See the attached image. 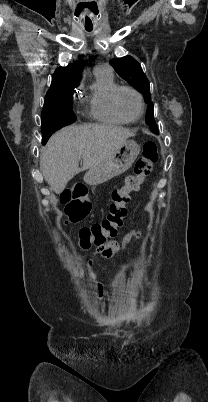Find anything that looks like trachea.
<instances>
[{
    "instance_id": "obj_1",
    "label": "trachea",
    "mask_w": 208,
    "mask_h": 402,
    "mask_svg": "<svg viewBox=\"0 0 208 402\" xmlns=\"http://www.w3.org/2000/svg\"><path fill=\"white\" fill-rule=\"evenodd\" d=\"M87 32H91L93 30V27L91 28H86Z\"/></svg>"
}]
</instances>
